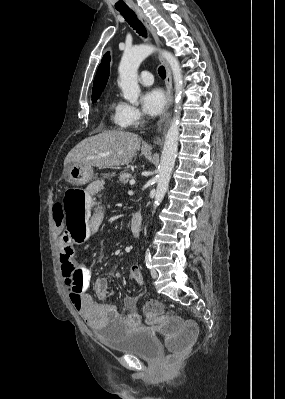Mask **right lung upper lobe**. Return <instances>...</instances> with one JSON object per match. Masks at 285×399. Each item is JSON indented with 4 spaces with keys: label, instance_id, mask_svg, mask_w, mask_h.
<instances>
[{
    "label": "right lung upper lobe",
    "instance_id": "right-lung-upper-lobe-1",
    "mask_svg": "<svg viewBox=\"0 0 285 399\" xmlns=\"http://www.w3.org/2000/svg\"><path fill=\"white\" fill-rule=\"evenodd\" d=\"M109 63H110V56L109 53H106L102 59L101 64L99 65L98 71L95 76L92 96L101 94L102 91L104 90L109 77Z\"/></svg>",
    "mask_w": 285,
    "mask_h": 399
}]
</instances>
